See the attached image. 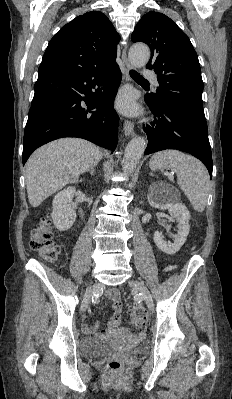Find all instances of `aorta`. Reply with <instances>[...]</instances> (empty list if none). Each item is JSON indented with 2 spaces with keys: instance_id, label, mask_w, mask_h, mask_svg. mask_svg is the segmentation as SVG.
Wrapping results in <instances>:
<instances>
[{
  "instance_id": "1",
  "label": "aorta",
  "mask_w": 232,
  "mask_h": 399,
  "mask_svg": "<svg viewBox=\"0 0 232 399\" xmlns=\"http://www.w3.org/2000/svg\"><path fill=\"white\" fill-rule=\"evenodd\" d=\"M128 58L132 66L136 68L144 67L150 58L148 46L142 43L134 44L128 53ZM146 148L145 139L142 137L133 138L125 149L123 160V170L126 174L134 172L140 158Z\"/></svg>"
}]
</instances>
